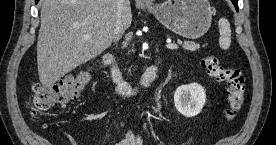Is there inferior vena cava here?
I'll list each match as a JSON object with an SVG mask.
<instances>
[{
	"instance_id": "inferior-vena-cava-1",
	"label": "inferior vena cava",
	"mask_w": 276,
	"mask_h": 145,
	"mask_svg": "<svg viewBox=\"0 0 276 145\" xmlns=\"http://www.w3.org/2000/svg\"><path fill=\"white\" fill-rule=\"evenodd\" d=\"M129 4V0H117V6H118V14H117V22H116V28L114 30V40H118L120 37V34L122 32V21H121V11L124 6Z\"/></svg>"
}]
</instances>
